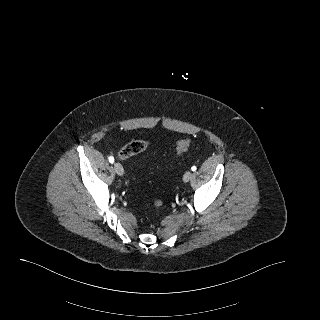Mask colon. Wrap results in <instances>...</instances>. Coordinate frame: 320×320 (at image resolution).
<instances>
[{
	"instance_id": "1",
	"label": "colon",
	"mask_w": 320,
	"mask_h": 320,
	"mask_svg": "<svg viewBox=\"0 0 320 320\" xmlns=\"http://www.w3.org/2000/svg\"><path fill=\"white\" fill-rule=\"evenodd\" d=\"M192 140L190 138H184L177 142L176 144V150L175 153L177 156H182L188 148L192 145ZM148 146V143L143 140H134L129 143H127L125 146H123L119 152L118 157L120 159H127L133 155L139 154L146 150ZM162 202L159 199L153 200V206L154 208L161 207Z\"/></svg>"
}]
</instances>
